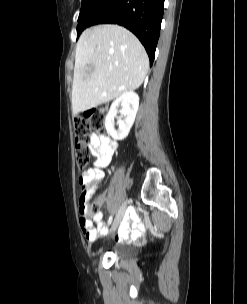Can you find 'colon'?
<instances>
[{
    "label": "colon",
    "mask_w": 247,
    "mask_h": 304,
    "mask_svg": "<svg viewBox=\"0 0 247 304\" xmlns=\"http://www.w3.org/2000/svg\"><path fill=\"white\" fill-rule=\"evenodd\" d=\"M107 115L105 105L94 107L82 115L74 118L75 130V162L78 169L82 170L89 162L90 149L87 144L91 130L102 131ZM87 188L81 185L80 204L82 219L88 221L97 213L98 203H89L87 198Z\"/></svg>",
    "instance_id": "5ec220e1"
}]
</instances>
